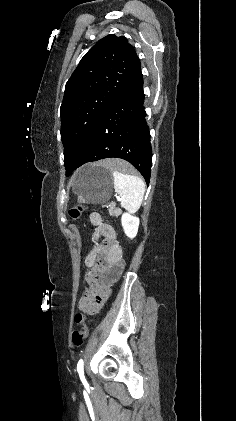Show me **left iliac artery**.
Here are the masks:
<instances>
[{"label": "left iliac artery", "mask_w": 236, "mask_h": 421, "mask_svg": "<svg viewBox=\"0 0 236 421\" xmlns=\"http://www.w3.org/2000/svg\"><path fill=\"white\" fill-rule=\"evenodd\" d=\"M83 365H84V362H83L82 359H80L78 364H77V371L79 373L80 378L84 377Z\"/></svg>", "instance_id": "1"}]
</instances>
